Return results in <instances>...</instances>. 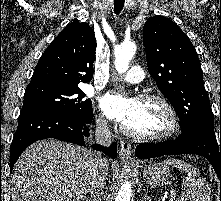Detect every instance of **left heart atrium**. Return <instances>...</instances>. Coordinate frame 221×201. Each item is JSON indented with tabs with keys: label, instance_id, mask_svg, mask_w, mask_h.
<instances>
[{
	"label": "left heart atrium",
	"instance_id": "39dd6f15",
	"mask_svg": "<svg viewBox=\"0 0 221 201\" xmlns=\"http://www.w3.org/2000/svg\"><path fill=\"white\" fill-rule=\"evenodd\" d=\"M99 105L109 119L124 124L133 112L135 100L122 94L108 93L100 99Z\"/></svg>",
	"mask_w": 221,
	"mask_h": 201
}]
</instances>
